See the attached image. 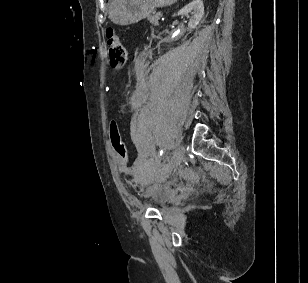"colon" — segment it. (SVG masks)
<instances>
[{
	"label": "colon",
	"instance_id": "5ec220e1",
	"mask_svg": "<svg viewBox=\"0 0 308 283\" xmlns=\"http://www.w3.org/2000/svg\"><path fill=\"white\" fill-rule=\"evenodd\" d=\"M107 46L110 65L113 68H121L126 64L127 53L122 44L117 32L108 28L106 31ZM109 136L112 148L123 163H126L128 158L127 146L122 138L118 123L111 121L109 126Z\"/></svg>",
	"mask_w": 308,
	"mask_h": 283
}]
</instances>
